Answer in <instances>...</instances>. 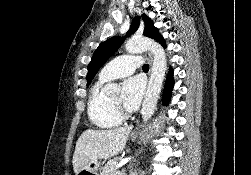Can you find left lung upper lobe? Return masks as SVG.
Listing matches in <instances>:
<instances>
[{"label": "left lung upper lobe", "mask_w": 251, "mask_h": 175, "mask_svg": "<svg viewBox=\"0 0 251 175\" xmlns=\"http://www.w3.org/2000/svg\"><path fill=\"white\" fill-rule=\"evenodd\" d=\"M144 20V36L155 39L156 41L161 38L158 29L154 27L153 22L145 14L142 15ZM140 18L135 17L132 21L130 30L126 36L136 32L139 27ZM124 38L120 36L112 37L102 42L92 56V60L88 65L87 85H89L103 64L119 49Z\"/></svg>", "instance_id": "left-lung-upper-lobe-1"}]
</instances>
